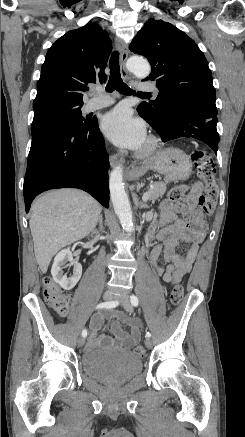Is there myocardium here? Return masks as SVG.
Masks as SVG:
<instances>
[{
	"mask_svg": "<svg viewBox=\"0 0 245 437\" xmlns=\"http://www.w3.org/2000/svg\"><path fill=\"white\" fill-rule=\"evenodd\" d=\"M158 148L159 139L154 135H149L138 151V156L142 158L149 157L154 154Z\"/></svg>",
	"mask_w": 245,
	"mask_h": 437,
	"instance_id": "obj_1",
	"label": "myocardium"
}]
</instances>
